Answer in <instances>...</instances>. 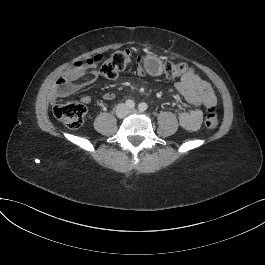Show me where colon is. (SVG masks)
<instances>
[{"label": "colon", "instance_id": "obj_1", "mask_svg": "<svg viewBox=\"0 0 265 265\" xmlns=\"http://www.w3.org/2000/svg\"><path fill=\"white\" fill-rule=\"evenodd\" d=\"M131 60L129 50H118L103 59L101 55H93L84 60L78 61L69 70L68 75L61 78L59 86L64 87L69 80L79 74L81 70L92 68L100 64V73L109 79H114L123 71ZM194 73L184 63H166L164 65V75L167 79H175L187 74ZM86 107L79 102L58 101L53 107V113L56 119L64 123L67 127L77 129L82 126L86 115ZM218 117L215 105H208L205 110L204 125L208 130H213L218 126Z\"/></svg>", "mask_w": 265, "mask_h": 265}]
</instances>
